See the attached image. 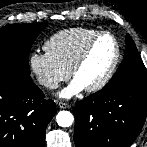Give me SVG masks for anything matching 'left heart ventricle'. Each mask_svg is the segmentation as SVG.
<instances>
[{
    "label": "left heart ventricle",
    "mask_w": 147,
    "mask_h": 147,
    "mask_svg": "<svg viewBox=\"0 0 147 147\" xmlns=\"http://www.w3.org/2000/svg\"><path fill=\"white\" fill-rule=\"evenodd\" d=\"M115 56V44L110 36L99 38L93 45L86 61L75 75L84 87L97 83L108 71Z\"/></svg>",
    "instance_id": "1"
}]
</instances>
